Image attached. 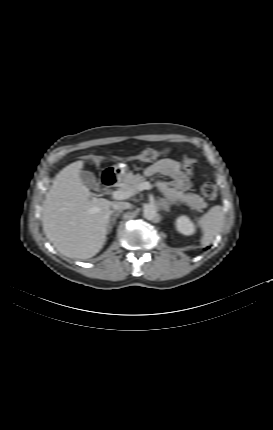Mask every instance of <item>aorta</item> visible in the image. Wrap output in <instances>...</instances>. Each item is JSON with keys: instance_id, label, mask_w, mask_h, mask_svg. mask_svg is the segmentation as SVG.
<instances>
[{"instance_id": "aorta-1", "label": "aorta", "mask_w": 273, "mask_h": 430, "mask_svg": "<svg viewBox=\"0 0 273 430\" xmlns=\"http://www.w3.org/2000/svg\"><path fill=\"white\" fill-rule=\"evenodd\" d=\"M143 216L147 220H153L157 217V209L154 205H146L143 210Z\"/></svg>"}]
</instances>
